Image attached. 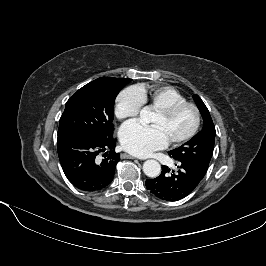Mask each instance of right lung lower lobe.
Segmentation results:
<instances>
[{
	"instance_id": "1",
	"label": "right lung lower lobe",
	"mask_w": 266,
	"mask_h": 266,
	"mask_svg": "<svg viewBox=\"0 0 266 266\" xmlns=\"http://www.w3.org/2000/svg\"><path fill=\"white\" fill-rule=\"evenodd\" d=\"M113 134L101 139L84 134L58 137L57 150L62 169L68 180L78 189L93 192L107 187L113 180L120 154L115 153ZM104 154L102 161L97 157Z\"/></svg>"
}]
</instances>
